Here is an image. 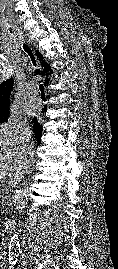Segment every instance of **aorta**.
Masks as SVG:
<instances>
[{
	"label": "aorta",
	"mask_w": 118,
	"mask_h": 269,
	"mask_svg": "<svg viewBox=\"0 0 118 269\" xmlns=\"http://www.w3.org/2000/svg\"><path fill=\"white\" fill-rule=\"evenodd\" d=\"M14 204L16 209L19 212H22L24 207L27 204V195L24 190H16L15 195H14ZM20 250V244H19V236L17 232H15L11 237L9 241V251L11 252H18Z\"/></svg>",
	"instance_id": "762f6f07"
}]
</instances>
